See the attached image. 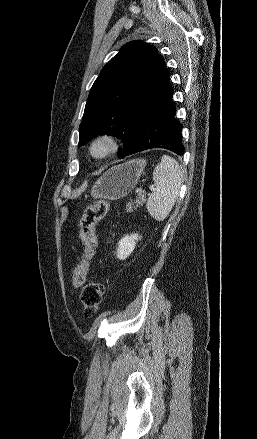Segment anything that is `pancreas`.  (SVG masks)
Masks as SVG:
<instances>
[{"label":"pancreas","mask_w":257,"mask_h":439,"mask_svg":"<svg viewBox=\"0 0 257 439\" xmlns=\"http://www.w3.org/2000/svg\"><path fill=\"white\" fill-rule=\"evenodd\" d=\"M145 201H146V196L139 193L137 195L136 200L133 202V204L135 205L134 207L138 208V207L142 206ZM127 207H128L127 208V212H131L132 211V205L128 204Z\"/></svg>","instance_id":"obj_1"}]
</instances>
